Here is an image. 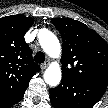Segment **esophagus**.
<instances>
[{
	"mask_svg": "<svg viewBox=\"0 0 108 108\" xmlns=\"http://www.w3.org/2000/svg\"><path fill=\"white\" fill-rule=\"evenodd\" d=\"M48 64H49L48 61H46L45 63L41 64V69H42V70L46 69L47 66H48Z\"/></svg>",
	"mask_w": 108,
	"mask_h": 108,
	"instance_id": "34e87169",
	"label": "esophagus"
}]
</instances>
